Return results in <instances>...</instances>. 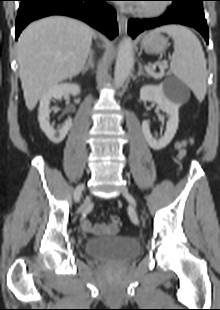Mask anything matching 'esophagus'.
<instances>
[{
    "label": "esophagus",
    "mask_w": 220,
    "mask_h": 310,
    "mask_svg": "<svg viewBox=\"0 0 220 310\" xmlns=\"http://www.w3.org/2000/svg\"><path fill=\"white\" fill-rule=\"evenodd\" d=\"M117 22L120 34L125 33L127 31V25H128L127 17L122 13H118Z\"/></svg>",
    "instance_id": "esophagus-1"
}]
</instances>
